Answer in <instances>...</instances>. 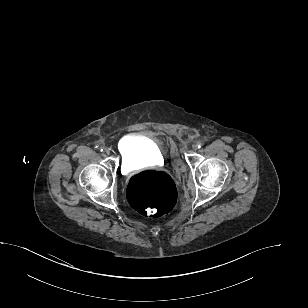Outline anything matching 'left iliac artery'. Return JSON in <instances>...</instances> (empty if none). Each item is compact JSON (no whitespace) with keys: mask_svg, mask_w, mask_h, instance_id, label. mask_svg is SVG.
Returning <instances> with one entry per match:
<instances>
[{"mask_svg":"<svg viewBox=\"0 0 308 308\" xmlns=\"http://www.w3.org/2000/svg\"><path fill=\"white\" fill-rule=\"evenodd\" d=\"M202 146H203V143L200 142V141H198V142H197V147H198V148H201Z\"/></svg>","mask_w":308,"mask_h":308,"instance_id":"obj_1","label":"left iliac artery"}]
</instances>
